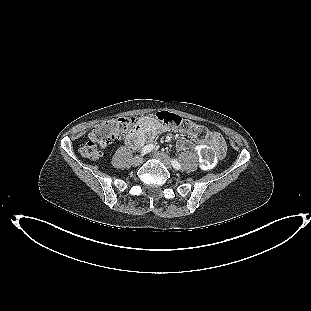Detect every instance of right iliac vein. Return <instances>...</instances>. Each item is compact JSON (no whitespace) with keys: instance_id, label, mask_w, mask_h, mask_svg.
Listing matches in <instances>:
<instances>
[{"instance_id":"63e3f726","label":"right iliac vein","mask_w":311,"mask_h":311,"mask_svg":"<svg viewBox=\"0 0 311 311\" xmlns=\"http://www.w3.org/2000/svg\"><path fill=\"white\" fill-rule=\"evenodd\" d=\"M143 161V157L142 156H136L132 159V165L134 166H138L139 164H141Z\"/></svg>"}]
</instances>
